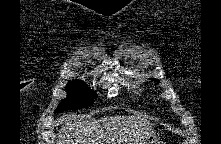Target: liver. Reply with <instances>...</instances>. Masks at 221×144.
<instances>
[{"label": "liver", "instance_id": "obj_1", "mask_svg": "<svg viewBox=\"0 0 221 144\" xmlns=\"http://www.w3.org/2000/svg\"><path fill=\"white\" fill-rule=\"evenodd\" d=\"M57 144H140L155 133L149 121L136 116L75 120L64 116Z\"/></svg>", "mask_w": 221, "mask_h": 144}]
</instances>
